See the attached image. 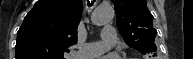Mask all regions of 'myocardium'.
Segmentation results:
<instances>
[{
    "label": "myocardium",
    "mask_w": 193,
    "mask_h": 59,
    "mask_svg": "<svg viewBox=\"0 0 193 59\" xmlns=\"http://www.w3.org/2000/svg\"><path fill=\"white\" fill-rule=\"evenodd\" d=\"M126 59H137V58H126Z\"/></svg>",
    "instance_id": "myocardium-1"
}]
</instances>
